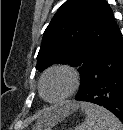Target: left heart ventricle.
Wrapping results in <instances>:
<instances>
[{"mask_svg":"<svg viewBox=\"0 0 123 130\" xmlns=\"http://www.w3.org/2000/svg\"><path fill=\"white\" fill-rule=\"evenodd\" d=\"M70 86V77L62 71H56L47 76L44 81V95L54 99L64 94Z\"/></svg>","mask_w":123,"mask_h":130,"instance_id":"b2bd125f","label":"left heart ventricle"}]
</instances>
